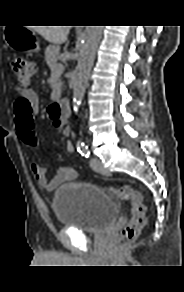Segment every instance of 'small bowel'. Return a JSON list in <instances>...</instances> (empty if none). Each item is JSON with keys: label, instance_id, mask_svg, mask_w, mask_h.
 I'll return each mask as SVG.
<instances>
[{"label": "small bowel", "instance_id": "small-bowel-1", "mask_svg": "<svg viewBox=\"0 0 184 292\" xmlns=\"http://www.w3.org/2000/svg\"><path fill=\"white\" fill-rule=\"evenodd\" d=\"M53 125L60 130L62 135L64 136L70 135V132H71L70 127L67 126L65 123L54 121ZM16 129H17L18 137L22 141V137L20 135V131L17 124H16ZM73 151H74V147L72 143L67 142L66 144L67 155H70L71 153H73ZM31 169L38 183L42 187H44L46 190H49V191L54 190L58 186L66 182L72 181L78 177L77 171L70 166L59 167L55 175H53L52 177H48L47 170L45 168H42L35 162L32 163Z\"/></svg>", "mask_w": 184, "mask_h": 292}]
</instances>
